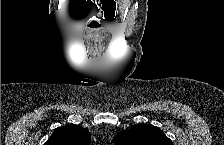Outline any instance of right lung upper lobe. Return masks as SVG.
Listing matches in <instances>:
<instances>
[{
  "label": "right lung upper lobe",
  "mask_w": 224,
  "mask_h": 145,
  "mask_svg": "<svg viewBox=\"0 0 224 145\" xmlns=\"http://www.w3.org/2000/svg\"><path fill=\"white\" fill-rule=\"evenodd\" d=\"M91 135L87 129L67 125L54 130L44 145H89Z\"/></svg>",
  "instance_id": "right-lung-upper-lobe-1"
}]
</instances>
